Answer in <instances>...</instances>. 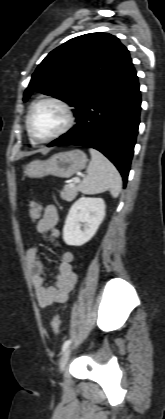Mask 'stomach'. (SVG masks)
<instances>
[{"label": "stomach", "instance_id": "1", "mask_svg": "<svg viewBox=\"0 0 165 419\" xmlns=\"http://www.w3.org/2000/svg\"><path fill=\"white\" fill-rule=\"evenodd\" d=\"M87 156L82 150H71L54 154L47 160H34L25 167V175L42 178L52 175L69 178L85 168Z\"/></svg>", "mask_w": 165, "mask_h": 419}]
</instances>
